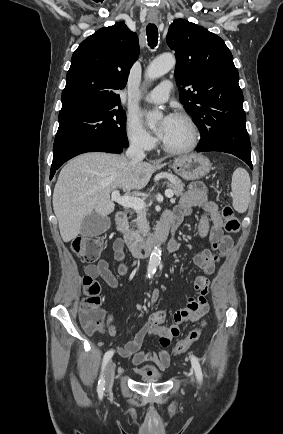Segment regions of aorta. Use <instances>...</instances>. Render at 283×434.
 Here are the masks:
<instances>
[{"label":"aorta","instance_id":"762f6f07","mask_svg":"<svg viewBox=\"0 0 283 434\" xmlns=\"http://www.w3.org/2000/svg\"><path fill=\"white\" fill-rule=\"evenodd\" d=\"M175 57L171 54H164L154 59L146 70V77L150 80L157 79L167 72H169L175 66ZM162 118V113L159 111L147 113V124L150 128H154L156 123ZM161 261V248L159 246L154 247L151 252L147 274L152 276L155 274L157 267Z\"/></svg>","mask_w":283,"mask_h":434}]
</instances>
